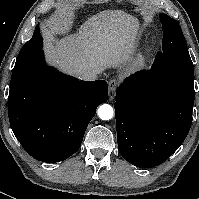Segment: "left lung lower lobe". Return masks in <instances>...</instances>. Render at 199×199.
Masks as SVG:
<instances>
[{"label": "left lung lower lobe", "mask_w": 199, "mask_h": 199, "mask_svg": "<svg viewBox=\"0 0 199 199\" xmlns=\"http://www.w3.org/2000/svg\"><path fill=\"white\" fill-rule=\"evenodd\" d=\"M194 72L141 70L117 87L114 104L120 154L140 168L166 161L183 143L194 105Z\"/></svg>", "instance_id": "1"}]
</instances>
